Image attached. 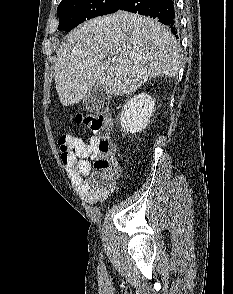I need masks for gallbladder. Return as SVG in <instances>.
<instances>
[{
  "label": "gallbladder",
  "instance_id": "obj_1",
  "mask_svg": "<svg viewBox=\"0 0 233 294\" xmlns=\"http://www.w3.org/2000/svg\"><path fill=\"white\" fill-rule=\"evenodd\" d=\"M83 105L87 111L93 114L105 111L109 105V96L101 84L96 83L83 99Z\"/></svg>",
  "mask_w": 233,
  "mask_h": 294
}]
</instances>
